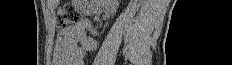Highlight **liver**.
<instances>
[{"label":"liver","instance_id":"6515ba94","mask_svg":"<svg viewBox=\"0 0 232 65\" xmlns=\"http://www.w3.org/2000/svg\"><path fill=\"white\" fill-rule=\"evenodd\" d=\"M54 4H57L59 1H57V0H54V1H52Z\"/></svg>","mask_w":232,"mask_h":65}]
</instances>
